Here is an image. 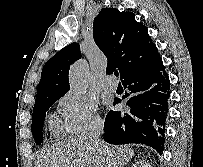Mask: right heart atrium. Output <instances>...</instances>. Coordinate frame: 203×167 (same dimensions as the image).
<instances>
[{"instance_id":"d8ad5b80","label":"right heart atrium","mask_w":203,"mask_h":167,"mask_svg":"<svg viewBox=\"0 0 203 167\" xmlns=\"http://www.w3.org/2000/svg\"><path fill=\"white\" fill-rule=\"evenodd\" d=\"M59 110L65 131L72 135H82L103 125L97 102L85 94L67 92L59 101Z\"/></svg>"}]
</instances>
